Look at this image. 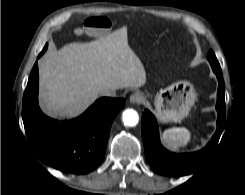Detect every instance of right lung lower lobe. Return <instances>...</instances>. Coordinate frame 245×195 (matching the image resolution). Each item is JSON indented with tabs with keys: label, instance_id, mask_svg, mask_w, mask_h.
Listing matches in <instances>:
<instances>
[{
	"label": "right lung lower lobe",
	"instance_id": "98d812e1",
	"mask_svg": "<svg viewBox=\"0 0 245 195\" xmlns=\"http://www.w3.org/2000/svg\"><path fill=\"white\" fill-rule=\"evenodd\" d=\"M46 49L47 45L39 57ZM38 80V65L35 63L22 105L23 123L33 152L43 163L62 172H91L104 158L112 122L125 100L100 98L78 118L59 122L41 112Z\"/></svg>",
	"mask_w": 245,
	"mask_h": 195
}]
</instances>
